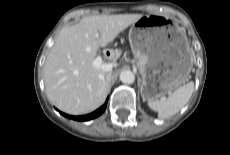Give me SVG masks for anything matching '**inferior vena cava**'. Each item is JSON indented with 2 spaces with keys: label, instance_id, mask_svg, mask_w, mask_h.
Listing matches in <instances>:
<instances>
[{
  "label": "inferior vena cava",
  "instance_id": "602c4592",
  "mask_svg": "<svg viewBox=\"0 0 230 155\" xmlns=\"http://www.w3.org/2000/svg\"><path fill=\"white\" fill-rule=\"evenodd\" d=\"M111 77H112V74H111V73H108V74L106 75V78H107L108 81L111 80Z\"/></svg>",
  "mask_w": 230,
  "mask_h": 155
}]
</instances>
